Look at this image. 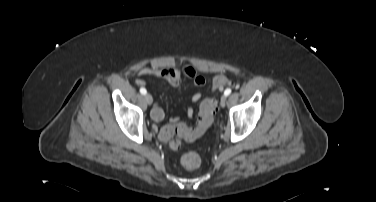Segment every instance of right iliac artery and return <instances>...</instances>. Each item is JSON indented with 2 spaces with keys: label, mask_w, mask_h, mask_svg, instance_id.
<instances>
[{
  "label": "right iliac artery",
  "mask_w": 376,
  "mask_h": 202,
  "mask_svg": "<svg viewBox=\"0 0 376 202\" xmlns=\"http://www.w3.org/2000/svg\"><path fill=\"white\" fill-rule=\"evenodd\" d=\"M140 93L143 94V95H145V94L147 93V91H146L145 88H141V89H140Z\"/></svg>",
  "instance_id": "82829eb1"
}]
</instances>
